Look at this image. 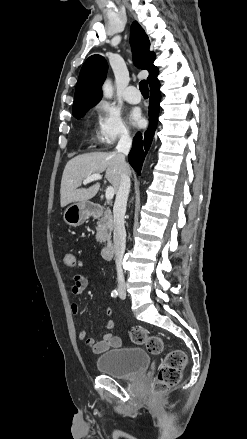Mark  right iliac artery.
<instances>
[{"label": "right iliac artery", "mask_w": 247, "mask_h": 439, "mask_svg": "<svg viewBox=\"0 0 247 439\" xmlns=\"http://www.w3.org/2000/svg\"><path fill=\"white\" fill-rule=\"evenodd\" d=\"M111 296L114 297V298L117 297L118 296V290L117 289L113 290L112 293H111Z\"/></svg>", "instance_id": "1"}]
</instances>
